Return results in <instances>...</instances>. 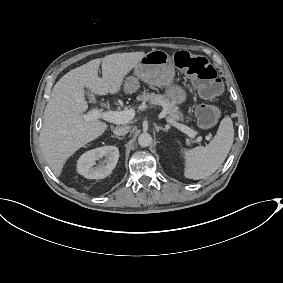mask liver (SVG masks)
Segmentation results:
<instances>
[{"instance_id":"6515ba94","label":"liver","mask_w":283,"mask_h":283,"mask_svg":"<svg viewBox=\"0 0 283 283\" xmlns=\"http://www.w3.org/2000/svg\"><path fill=\"white\" fill-rule=\"evenodd\" d=\"M144 56V51H138L93 59L69 71L54 85L44 110L40 147L56 176H61L72 155L108 128L105 122L84 119L82 114L88 108L85 88L98 96L119 94L126 76ZM100 64L103 78L98 76Z\"/></svg>"}]
</instances>
